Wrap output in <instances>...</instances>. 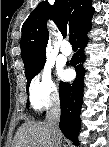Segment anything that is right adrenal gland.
<instances>
[{
  "label": "right adrenal gland",
  "instance_id": "obj_1",
  "mask_svg": "<svg viewBox=\"0 0 109 147\" xmlns=\"http://www.w3.org/2000/svg\"><path fill=\"white\" fill-rule=\"evenodd\" d=\"M62 147H67L66 145H63Z\"/></svg>",
  "mask_w": 109,
  "mask_h": 147
}]
</instances>
